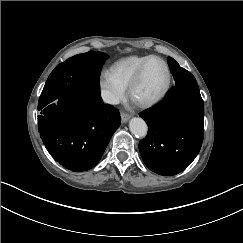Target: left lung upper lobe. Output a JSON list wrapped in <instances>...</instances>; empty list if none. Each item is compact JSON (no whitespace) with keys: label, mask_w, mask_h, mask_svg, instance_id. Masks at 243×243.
I'll return each mask as SVG.
<instances>
[{"label":"left lung upper lobe","mask_w":243,"mask_h":243,"mask_svg":"<svg viewBox=\"0 0 243 243\" xmlns=\"http://www.w3.org/2000/svg\"><path fill=\"white\" fill-rule=\"evenodd\" d=\"M168 65L176 85H198L194 76L171 57H168Z\"/></svg>","instance_id":"1"}]
</instances>
